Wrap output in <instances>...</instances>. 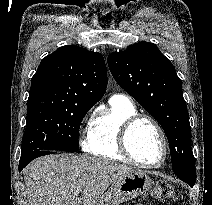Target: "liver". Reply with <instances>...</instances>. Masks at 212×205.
<instances>
[{
    "label": "liver",
    "mask_w": 212,
    "mask_h": 205,
    "mask_svg": "<svg viewBox=\"0 0 212 205\" xmlns=\"http://www.w3.org/2000/svg\"><path fill=\"white\" fill-rule=\"evenodd\" d=\"M132 171L87 155L41 157L24 170L28 205H97L113 182Z\"/></svg>",
    "instance_id": "obj_1"
}]
</instances>
